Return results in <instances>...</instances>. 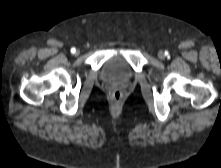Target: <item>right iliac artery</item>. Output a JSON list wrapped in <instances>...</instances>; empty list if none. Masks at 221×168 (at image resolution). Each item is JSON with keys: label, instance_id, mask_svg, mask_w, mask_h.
<instances>
[{"label": "right iliac artery", "instance_id": "obj_1", "mask_svg": "<svg viewBox=\"0 0 221 168\" xmlns=\"http://www.w3.org/2000/svg\"><path fill=\"white\" fill-rule=\"evenodd\" d=\"M76 49L75 48H71V53H75Z\"/></svg>", "mask_w": 221, "mask_h": 168}]
</instances>
